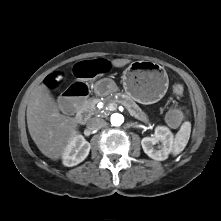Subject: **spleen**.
Instances as JSON below:
<instances>
[{
    "instance_id": "spleen-1",
    "label": "spleen",
    "mask_w": 221,
    "mask_h": 221,
    "mask_svg": "<svg viewBox=\"0 0 221 221\" xmlns=\"http://www.w3.org/2000/svg\"><path fill=\"white\" fill-rule=\"evenodd\" d=\"M190 133H191V123L184 122L175 136L173 150H172L174 155H178L184 150V148L186 147L189 141Z\"/></svg>"
}]
</instances>
